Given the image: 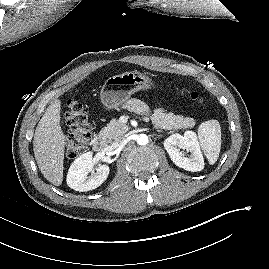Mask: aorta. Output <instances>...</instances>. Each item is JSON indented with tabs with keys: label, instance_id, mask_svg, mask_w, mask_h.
I'll return each mask as SVG.
<instances>
[{
	"label": "aorta",
	"instance_id": "1",
	"mask_svg": "<svg viewBox=\"0 0 269 269\" xmlns=\"http://www.w3.org/2000/svg\"><path fill=\"white\" fill-rule=\"evenodd\" d=\"M148 136L145 134H140L137 136V143L139 145H146L148 143Z\"/></svg>",
	"mask_w": 269,
	"mask_h": 269
}]
</instances>
